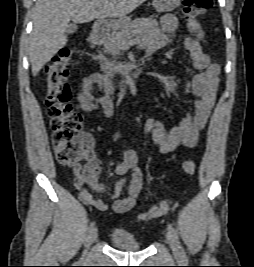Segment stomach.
I'll return each mask as SVG.
<instances>
[{"mask_svg":"<svg viewBox=\"0 0 254 267\" xmlns=\"http://www.w3.org/2000/svg\"><path fill=\"white\" fill-rule=\"evenodd\" d=\"M152 4L158 12H170L181 4V0H153ZM130 22L131 19L129 17L112 20L107 24V32H116L118 29L130 24Z\"/></svg>","mask_w":254,"mask_h":267,"instance_id":"1","label":"stomach"}]
</instances>
